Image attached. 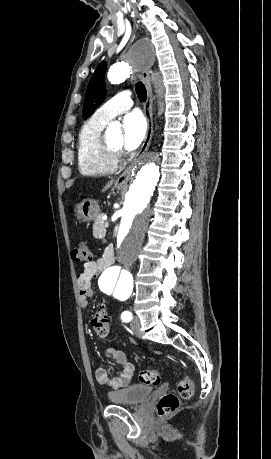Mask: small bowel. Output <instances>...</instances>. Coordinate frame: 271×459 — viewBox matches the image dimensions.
<instances>
[{
    "mask_svg": "<svg viewBox=\"0 0 271 459\" xmlns=\"http://www.w3.org/2000/svg\"><path fill=\"white\" fill-rule=\"evenodd\" d=\"M111 263L110 255L105 252L97 260L88 261L83 266V272L78 278L79 299L83 307H86L91 297V283L103 270ZM107 358L115 362L119 367V373L116 376H110L109 372L99 367L96 369L95 377L99 384L107 385L112 389H119L129 385L134 366L128 361L124 352L111 346L105 352Z\"/></svg>",
    "mask_w": 271,
    "mask_h": 459,
    "instance_id": "c3829d8e",
    "label": "small bowel"
}]
</instances>
